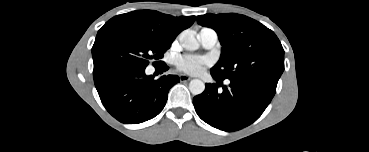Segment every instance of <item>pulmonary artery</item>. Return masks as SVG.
<instances>
[{
    "label": "pulmonary artery",
    "mask_w": 369,
    "mask_h": 152,
    "mask_svg": "<svg viewBox=\"0 0 369 152\" xmlns=\"http://www.w3.org/2000/svg\"><path fill=\"white\" fill-rule=\"evenodd\" d=\"M198 39L203 47L210 49L216 45L218 41V34L214 29L204 27L199 31Z\"/></svg>",
    "instance_id": "pulmonary-artery-1"
}]
</instances>
